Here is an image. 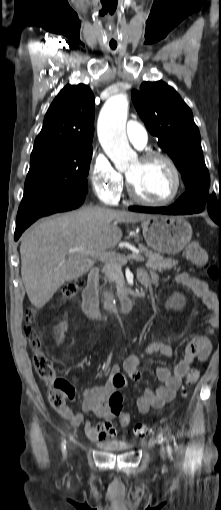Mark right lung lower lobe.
I'll return each instance as SVG.
<instances>
[{"label":"right lung lower lobe","mask_w":221,"mask_h":510,"mask_svg":"<svg viewBox=\"0 0 221 510\" xmlns=\"http://www.w3.org/2000/svg\"><path fill=\"white\" fill-rule=\"evenodd\" d=\"M84 199H85V196L76 198L71 201H67L65 203H62V204H59L56 206H52V207H49L46 210L40 212L39 214L31 215L30 213H28L26 211L18 210L14 239L18 240V238L21 236L22 232L38 218L47 216V215H50L53 213L64 212V211L78 208L83 203Z\"/></svg>","instance_id":"right-lung-lower-lobe-1"}]
</instances>
